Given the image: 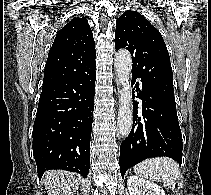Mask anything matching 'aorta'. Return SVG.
<instances>
[{
	"instance_id": "762f6f07",
	"label": "aorta",
	"mask_w": 211,
	"mask_h": 195,
	"mask_svg": "<svg viewBox=\"0 0 211 195\" xmlns=\"http://www.w3.org/2000/svg\"><path fill=\"white\" fill-rule=\"evenodd\" d=\"M114 65L118 82L122 86L119 91L118 132L121 137L125 138L129 135L133 124L132 95L130 90L132 58L130 53L127 50H119L115 55Z\"/></svg>"
}]
</instances>
